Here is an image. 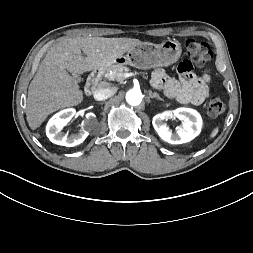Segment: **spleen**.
Wrapping results in <instances>:
<instances>
[{
    "instance_id": "1",
    "label": "spleen",
    "mask_w": 253,
    "mask_h": 253,
    "mask_svg": "<svg viewBox=\"0 0 253 253\" xmlns=\"http://www.w3.org/2000/svg\"><path fill=\"white\" fill-rule=\"evenodd\" d=\"M218 130H219L218 127H216V128L212 131L210 137H211V138L215 137L216 134L218 133Z\"/></svg>"
}]
</instances>
